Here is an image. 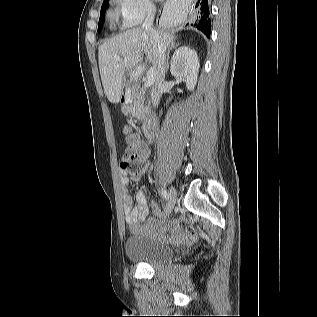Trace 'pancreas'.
<instances>
[{
  "mask_svg": "<svg viewBox=\"0 0 317 317\" xmlns=\"http://www.w3.org/2000/svg\"><path fill=\"white\" fill-rule=\"evenodd\" d=\"M145 88L132 90V104L130 105V112L132 116L138 120H143L145 115L146 106L145 101Z\"/></svg>",
  "mask_w": 317,
  "mask_h": 317,
  "instance_id": "cf45deb5",
  "label": "pancreas"
}]
</instances>
